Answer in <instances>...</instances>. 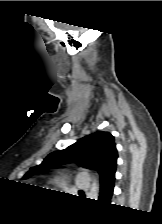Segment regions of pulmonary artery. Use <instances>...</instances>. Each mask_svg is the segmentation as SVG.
Listing matches in <instances>:
<instances>
[{"instance_id": "e3ab8cb5", "label": "pulmonary artery", "mask_w": 162, "mask_h": 224, "mask_svg": "<svg viewBox=\"0 0 162 224\" xmlns=\"http://www.w3.org/2000/svg\"><path fill=\"white\" fill-rule=\"evenodd\" d=\"M90 185L89 177L84 173H79L75 177V187L79 189H87Z\"/></svg>"}]
</instances>
